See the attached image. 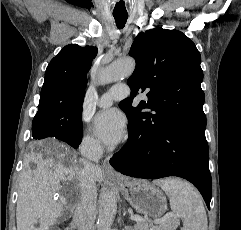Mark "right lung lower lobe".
Returning <instances> with one entry per match:
<instances>
[{
    "label": "right lung lower lobe",
    "instance_id": "98d812e1",
    "mask_svg": "<svg viewBox=\"0 0 241 230\" xmlns=\"http://www.w3.org/2000/svg\"><path fill=\"white\" fill-rule=\"evenodd\" d=\"M69 143H70L69 145H71L73 148H77L78 145L80 144V143H72V142H69Z\"/></svg>",
    "mask_w": 241,
    "mask_h": 230
}]
</instances>
